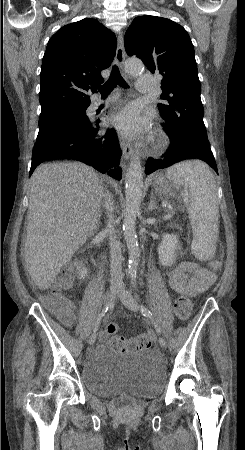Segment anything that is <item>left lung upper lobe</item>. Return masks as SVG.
Here are the masks:
<instances>
[{
  "label": "left lung upper lobe",
  "instance_id": "1",
  "mask_svg": "<svg viewBox=\"0 0 245 450\" xmlns=\"http://www.w3.org/2000/svg\"><path fill=\"white\" fill-rule=\"evenodd\" d=\"M126 52L136 55L152 73H160L164 104L159 111L167 121L164 130L175 141L209 143L203 122L201 84L194 47L187 31L162 17L140 16L124 36Z\"/></svg>",
  "mask_w": 245,
  "mask_h": 450
}]
</instances>
